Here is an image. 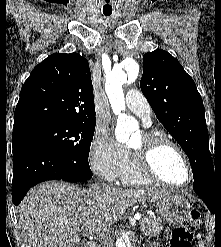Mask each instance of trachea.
<instances>
[{
	"label": "trachea",
	"mask_w": 221,
	"mask_h": 247,
	"mask_svg": "<svg viewBox=\"0 0 221 247\" xmlns=\"http://www.w3.org/2000/svg\"><path fill=\"white\" fill-rule=\"evenodd\" d=\"M105 16H109L110 14H104Z\"/></svg>",
	"instance_id": "trachea-1"
}]
</instances>
